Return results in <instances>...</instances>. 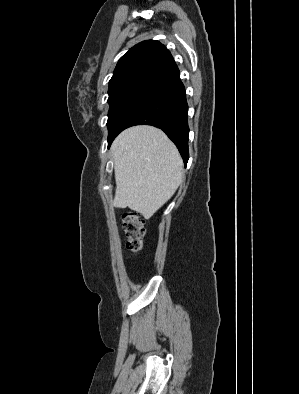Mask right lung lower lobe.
Returning a JSON list of instances; mask_svg holds the SVG:
<instances>
[{"label":"right lung lower lobe","mask_w":299,"mask_h":394,"mask_svg":"<svg viewBox=\"0 0 299 394\" xmlns=\"http://www.w3.org/2000/svg\"><path fill=\"white\" fill-rule=\"evenodd\" d=\"M187 111L185 88L177 69L149 87L129 106L108 136V146L128 127L152 125L162 129L175 143L186 165L189 158Z\"/></svg>","instance_id":"98d812e1"}]
</instances>
